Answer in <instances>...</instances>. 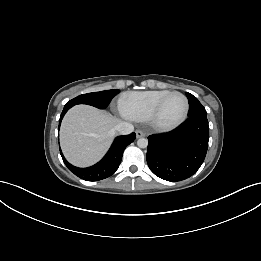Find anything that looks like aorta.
<instances>
[{
  "mask_svg": "<svg viewBox=\"0 0 261 261\" xmlns=\"http://www.w3.org/2000/svg\"><path fill=\"white\" fill-rule=\"evenodd\" d=\"M137 145H138V147H140V148H146L147 145H148V140L145 139V138H140V139H138V141H137Z\"/></svg>",
  "mask_w": 261,
  "mask_h": 261,
  "instance_id": "obj_1",
  "label": "aorta"
}]
</instances>
